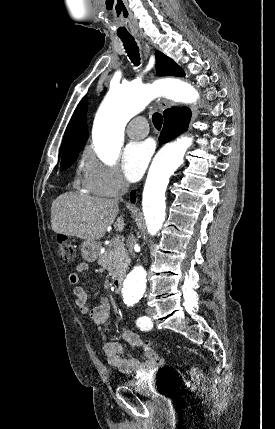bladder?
<instances>
[{"mask_svg":"<svg viewBox=\"0 0 275 429\" xmlns=\"http://www.w3.org/2000/svg\"><path fill=\"white\" fill-rule=\"evenodd\" d=\"M132 393H140V398H151V403H176L180 391L178 377L131 378Z\"/></svg>","mask_w":275,"mask_h":429,"instance_id":"bladder-1","label":"bladder"}]
</instances>
